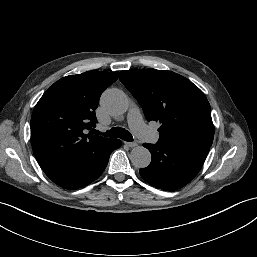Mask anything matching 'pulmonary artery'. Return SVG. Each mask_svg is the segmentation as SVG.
Here are the masks:
<instances>
[{"label":"pulmonary artery","instance_id":"1","mask_svg":"<svg viewBox=\"0 0 257 257\" xmlns=\"http://www.w3.org/2000/svg\"><path fill=\"white\" fill-rule=\"evenodd\" d=\"M127 118L129 126L136 134L152 142L157 140V135L152 132L144 123L141 111L137 106H132L130 108Z\"/></svg>","mask_w":257,"mask_h":257}]
</instances>
